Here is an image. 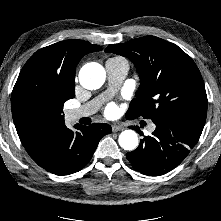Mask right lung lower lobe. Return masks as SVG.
<instances>
[{
    "mask_svg": "<svg viewBox=\"0 0 221 221\" xmlns=\"http://www.w3.org/2000/svg\"><path fill=\"white\" fill-rule=\"evenodd\" d=\"M76 129L74 132L63 125L38 130L22 144L45 170L69 175L80 171L90 161L100 139L111 133V126L103 123L77 125Z\"/></svg>",
    "mask_w": 221,
    "mask_h": 221,
    "instance_id": "1",
    "label": "right lung lower lobe"
}]
</instances>
